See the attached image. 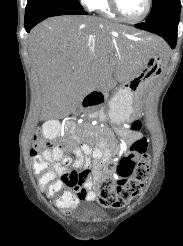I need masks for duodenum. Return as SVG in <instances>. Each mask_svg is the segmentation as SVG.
<instances>
[{
  "instance_id": "obj_1",
  "label": "duodenum",
  "mask_w": 183,
  "mask_h": 246,
  "mask_svg": "<svg viewBox=\"0 0 183 246\" xmlns=\"http://www.w3.org/2000/svg\"><path fill=\"white\" fill-rule=\"evenodd\" d=\"M104 100V94L100 90H92L90 91L83 100V106L86 109H93V107H96L100 105Z\"/></svg>"
}]
</instances>
